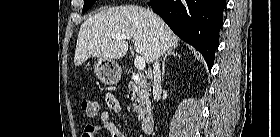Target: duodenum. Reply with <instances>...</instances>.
<instances>
[{"label": "duodenum", "mask_w": 280, "mask_h": 137, "mask_svg": "<svg viewBox=\"0 0 280 137\" xmlns=\"http://www.w3.org/2000/svg\"><path fill=\"white\" fill-rule=\"evenodd\" d=\"M131 81H135L137 80V75L133 74L130 77ZM154 128V118L153 117H148L146 119H144L143 123H142V130L147 133L150 134L153 131Z\"/></svg>", "instance_id": "duodenum-1"}]
</instances>
